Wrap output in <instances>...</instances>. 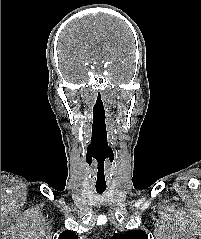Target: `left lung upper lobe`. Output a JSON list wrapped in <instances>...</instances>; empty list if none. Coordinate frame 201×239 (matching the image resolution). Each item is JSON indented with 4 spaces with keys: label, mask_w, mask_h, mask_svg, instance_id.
<instances>
[{
    "label": "left lung upper lobe",
    "mask_w": 201,
    "mask_h": 239,
    "mask_svg": "<svg viewBox=\"0 0 201 239\" xmlns=\"http://www.w3.org/2000/svg\"><path fill=\"white\" fill-rule=\"evenodd\" d=\"M111 239H148L143 230H132L126 233L114 234Z\"/></svg>",
    "instance_id": "left-lung-upper-lobe-1"
}]
</instances>
